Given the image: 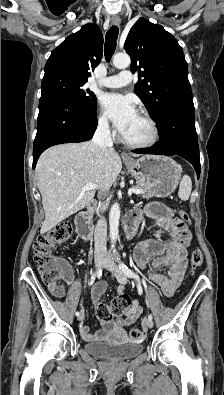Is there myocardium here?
<instances>
[{"label":"myocardium","mask_w":224,"mask_h":395,"mask_svg":"<svg viewBox=\"0 0 224 395\" xmlns=\"http://www.w3.org/2000/svg\"><path fill=\"white\" fill-rule=\"evenodd\" d=\"M138 114L148 123L150 127V137L145 141H131L126 139L122 134H120V141L126 146L135 149H145L152 147L159 139L158 125L156 121L152 118V116L146 111L140 110Z\"/></svg>","instance_id":"obj_1"}]
</instances>
